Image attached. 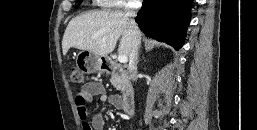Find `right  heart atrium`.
<instances>
[{
    "label": "right heart atrium",
    "instance_id": "d8ad5b80",
    "mask_svg": "<svg viewBox=\"0 0 257 130\" xmlns=\"http://www.w3.org/2000/svg\"><path fill=\"white\" fill-rule=\"evenodd\" d=\"M139 0H98L102 7H128L135 5Z\"/></svg>",
    "mask_w": 257,
    "mask_h": 130
}]
</instances>
